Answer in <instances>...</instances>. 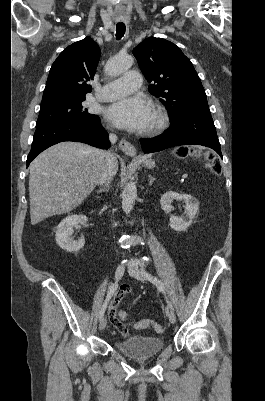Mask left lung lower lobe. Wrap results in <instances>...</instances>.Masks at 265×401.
Returning <instances> with one entry per match:
<instances>
[{"instance_id": "obj_1", "label": "left lung lower lobe", "mask_w": 265, "mask_h": 401, "mask_svg": "<svg viewBox=\"0 0 265 401\" xmlns=\"http://www.w3.org/2000/svg\"><path fill=\"white\" fill-rule=\"evenodd\" d=\"M144 153H151L179 145H202L214 149L221 157L220 143L211 113H189L172 120L163 134L149 139H140Z\"/></svg>"}]
</instances>
